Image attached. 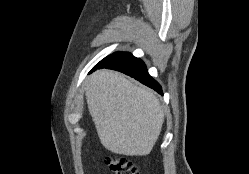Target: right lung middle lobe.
<instances>
[{
    "mask_svg": "<svg viewBox=\"0 0 249 174\" xmlns=\"http://www.w3.org/2000/svg\"><path fill=\"white\" fill-rule=\"evenodd\" d=\"M126 54H128V53L127 52H117V53H114V54H111V55L107 56L106 58H104L102 60V62H114V61H118L122 57H124Z\"/></svg>",
    "mask_w": 249,
    "mask_h": 174,
    "instance_id": "dd1d6c3e",
    "label": "right lung middle lobe"
}]
</instances>
